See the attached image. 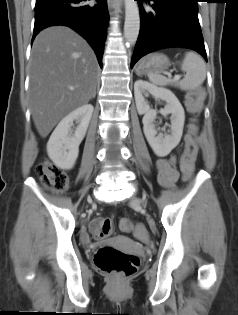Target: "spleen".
<instances>
[{
    "label": "spleen",
    "mask_w": 238,
    "mask_h": 315,
    "mask_svg": "<svg viewBox=\"0 0 238 315\" xmlns=\"http://www.w3.org/2000/svg\"><path fill=\"white\" fill-rule=\"evenodd\" d=\"M181 70L186 73L181 81H171L166 77L149 73V80L159 86L175 85L183 91H191L202 85L206 78V64L201 56L194 52H187L181 64Z\"/></svg>",
    "instance_id": "3e777b00"
}]
</instances>
